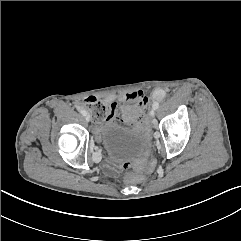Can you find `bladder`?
<instances>
[{"instance_id": "obj_1", "label": "bladder", "mask_w": 241, "mask_h": 241, "mask_svg": "<svg viewBox=\"0 0 241 241\" xmlns=\"http://www.w3.org/2000/svg\"><path fill=\"white\" fill-rule=\"evenodd\" d=\"M104 134L107 151L112 159H134L146 149L145 137L138 130L109 122L104 128Z\"/></svg>"}]
</instances>
